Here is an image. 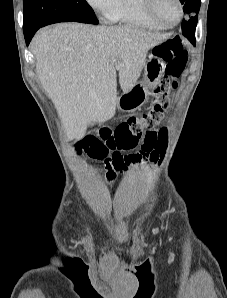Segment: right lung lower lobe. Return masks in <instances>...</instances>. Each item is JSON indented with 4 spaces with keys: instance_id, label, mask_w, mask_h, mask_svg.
I'll return each instance as SVG.
<instances>
[{
    "instance_id": "1",
    "label": "right lung lower lobe",
    "mask_w": 227,
    "mask_h": 298,
    "mask_svg": "<svg viewBox=\"0 0 227 298\" xmlns=\"http://www.w3.org/2000/svg\"><path fill=\"white\" fill-rule=\"evenodd\" d=\"M39 29V28H38ZM38 29H34L30 32H27V33H24V36H25V41H26V44L29 45L32 37L34 36L35 32L38 30Z\"/></svg>"
}]
</instances>
